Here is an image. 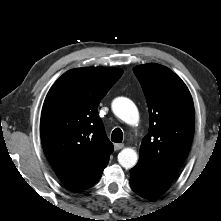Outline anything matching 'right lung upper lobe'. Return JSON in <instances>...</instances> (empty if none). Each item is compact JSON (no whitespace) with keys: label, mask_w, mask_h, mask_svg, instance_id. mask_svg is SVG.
<instances>
[{"label":"right lung upper lobe","mask_w":221,"mask_h":221,"mask_svg":"<svg viewBox=\"0 0 221 221\" xmlns=\"http://www.w3.org/2000/svg\"><path fill=\"white\" fill-rule=\"evenodd\" d=\"M118 68L86 67L65 72L48 92L41 113L44 153L70 189L93 186L113 150L97 107L122 76Z\"/></svg>","instance_id":"cb5924a9"}]
</instances>
